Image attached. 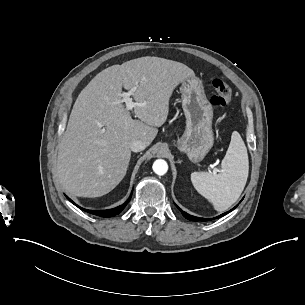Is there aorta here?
Here are the masks:
<instances>
[{
  "mask_svg": "<svg viewBox=\"0 0 305 305\" xmlns=\"http://www.w3.org/2000/svg\"><path fill=\"white\" fill-rule=\"evenodd\" d=\"M153 171L159 175L162 176L164 174L167 173L168 171V164L165 160L163 159H157L154 163H153Z\"/></svg>",
  "mask_w": 305,
  "mask_h": 305,
  "instance_id": "1",
  "label": "aorta"
}]
</instances>
